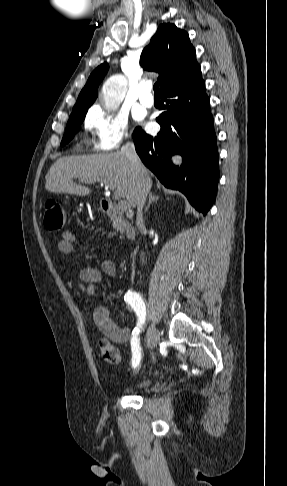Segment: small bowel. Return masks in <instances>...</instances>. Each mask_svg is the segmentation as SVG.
<instances>
[{
    "mask_svg": "<svg viewBox=\"0 0 287 486\" xmlns=\"http://www.w3.org/2000/svg\"><path fill=\"white\" fill-rule=\"evenodd\" d=\"M76 236L66 230L61 234L58 242V250L63 255H70L74 251ZM116 265L111 260H104L100 269L84 267L79 271L77 286L79 290L89 298L96 297L95 288L98 285L111 282L116 277ZM93 319L100 331L111 341L116 343H125L132 341L131 330L128 327H120L111 318L110 311L99 306L94 310Z\"/></svg>",
    "mask_w": 287,
    "mask_h": 486,
    "instance_id": "c3829d8e",
    "label": "small bowel"
}]
</instances>
